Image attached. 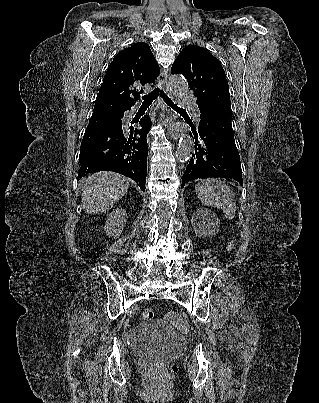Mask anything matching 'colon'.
Here are the masks:
<instances>
[{
  "label": "colon",
  "instance_id": "colon-1",
  "mask_svg": "<svg viewBox=\"0 0 319 403\" xmlns=\"http://www.w3.org/2000/svg\"><path fill=\"white\" fill-rule=\"evenodd\" d=\"M142 316L144 319H150L154 316L152 308L146 307L142 310ZM149 369L156 375L160 381H164L168 375L167 367L160 362H153L150 364Z\"/></svg>",
  "mask_w": 319,
  "mask_h": 403
}]
</instances>
